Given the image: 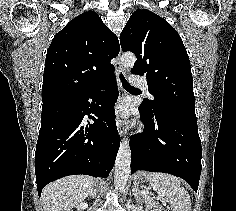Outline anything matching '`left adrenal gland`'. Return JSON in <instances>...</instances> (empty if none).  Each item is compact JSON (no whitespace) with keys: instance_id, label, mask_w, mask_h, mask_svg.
<instances>
[{"instance_id":"1","label":"left adrenal gland","mask_w":236,"mask_h":211,"mask_svg":"<svg viewBox=\"0 0 236 211\" xmlns=\"http://www.w3.org/2000/svg\"><path fill=\"white\" fill-rule=\"evenodd\" d=\"M138 187H139V184L135 183L132 188V194L136 198L137 202H139V200H140V193H139L140 189Z\"/></svg>"}]
</instances>
